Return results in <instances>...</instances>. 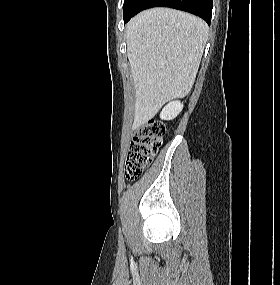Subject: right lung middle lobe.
<instances>
[{"label":"right lung middle lobe","instance_id":"obj_1","mask_svg":"<svg viewBox=\"0 0 280 285\" xmlns=\"http://www.w3.org/2000/svg\"><path fill=\"white\" fill-rule=\"evenodd\" d=\"M139 0H125L123 5L124 16L123 18L129 16L135 9Z\"/></svg>","mask_w":280,"mask_h":285}]
</instances>
